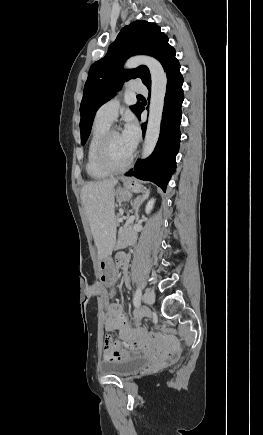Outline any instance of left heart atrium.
I'll return each instance as SVG.
<instances>
[{
    "mask_svg": "<svg viewBox=\"0 0 263 435\" xmlns=\"http://www.w3.org/2000/svg\"><path fill=\"white\" fill-rule=\"evenodd\" d=\"M121 134L127 146L133 151L140 138L139 126L133 117L127 119Z\"/></svg>",
    "mask_w": 263,
    "mask_h": 435,
    "instance_id": "obj_1",
    "label": "left heart atrium"
}]
</instances>
